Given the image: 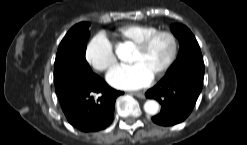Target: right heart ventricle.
<instances>
[{"label": "right heart ventricle", "mask_w": 247, "mask_h": 145, "mask_svg": "<svg viewBox=\"0 0 247 145\" xmlns=\"http://www.w3.org/2000/svg\"><path fill=\"white\" fill-rule=\"evenodd\" d=\"M157 30L158 27L154 25L133 23L120 26L113 32V35L122 43L135 45Z\"/></svg>", "instance_id": "e07e8e85"}]
</instances>
